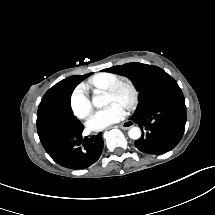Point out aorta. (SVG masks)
Instances as JSON below:
<instances>
[{"mask_svg":"<svg viewBox=\"0 0 215 215\" xmlns=\"http://www.w3.org/2000/svg\"><path fill=\"white\" fill-rule=\"evenodd\" d=\"M110 102L111 97L108 94L103 93L102 91H100L99 95L93 96L92 98V104L96 108H102L103 106L108 105ZM128 135L131 139L137 140L141 137V130L138 127H132L128 131Z\"/></svg>","mask_w":215,"mask_h":215,"instance_id":"1","label":"aorta"}]
</instances>
